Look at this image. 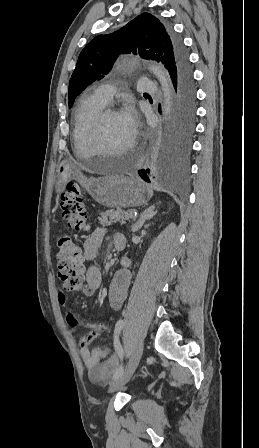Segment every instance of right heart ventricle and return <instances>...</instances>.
<instances>
[{"label": "right heart ventricle", "instance_id": "e07e8e85", "mask_svg": "<svg viewBox=\"0 0 259 448\" xmlns=\"http://www.w3.org/2000/svg\"><path fill=\"white\" fill-rule=\"evenodd\" d=\"M106 105V103L98 99L94 89H91L85 93L74 118L72 131L74 148H80L81 150L93 149V146L89 140L93 121L96 115Z\"/></svg>", "mask_w": 259, "mask_h": 448}]
</instances>
